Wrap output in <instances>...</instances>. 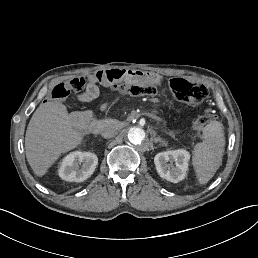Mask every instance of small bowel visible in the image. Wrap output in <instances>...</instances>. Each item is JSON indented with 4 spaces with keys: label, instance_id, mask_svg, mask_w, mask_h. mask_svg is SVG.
<instances>
[{
    "label": "small bowel",
    "instance_id": "c3829d8e",
    "mask_svg": "<svg viewBox=\"0 0 258 258\" xmlns=\"http://www.w3.org/2000/svg\"><path fill=\"white\" fill-rule=\"evenodd\" d=\"M97 89L95 86L90 85L87 90L82 94V99L84 100H90L93 99L96 96Z\"/></svg>",
    "mask_w": 258,
    "mask_h": 258
}]
</instances>
